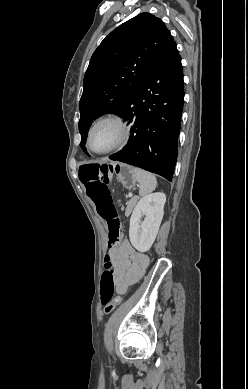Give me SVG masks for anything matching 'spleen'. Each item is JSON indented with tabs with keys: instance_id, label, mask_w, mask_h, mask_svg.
Segmentation results:
<instances>
[{
	"instance_id": "1",
	"label": "spleen",
	"mask_w": 248,
	"mask_h": 389,
	"mask_svg": "<svg viewBox=\"0 0 248 389\" xmlns=\"http://www.w3.org/2000/svg\"><path fill=\"white\" fill-rule=\"evenodd\" d=\"M132 172L135 180L138 182L140 196H146L155 190L157 180L152 173L140 168H133Z\"/></svg>"
}]
</instances>
